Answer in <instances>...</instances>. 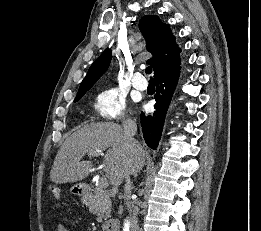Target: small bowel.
Here are the masks:
<instances>
[{
	"label": "small bowel",
	"instance_id": "small-bowel-1",
	"mask_svg": "<svg viewBox=\"0 0 261 231\" xmlns=\"http://www.w3.org/2000/svg\"><path fill=\"white\" fill-rule=\"evenodd\" d=\"M57 231H71L67 226L63 224H59L57 227Z\"/></svg>",
	"mask_w": 261,
	"mask_h": 231
}]
</instances>
